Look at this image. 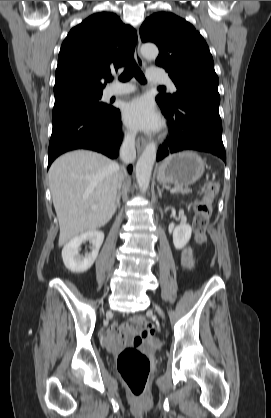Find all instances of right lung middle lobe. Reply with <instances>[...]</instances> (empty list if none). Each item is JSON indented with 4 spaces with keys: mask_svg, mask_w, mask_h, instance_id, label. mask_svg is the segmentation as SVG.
<instances>
[{
    "mask_svg": "<svg viewBox=\"0 0 271 418\" xmlns=\"http://www.w3.org/2000/svg\"><path fill=\"white\" fill-rule=\"evenodd\" d=\"M101 97L102 94L84 95L56 101L53 108V120L79 112L111 109V106L100 101Z\"/></svg>",
    "mask_w": 271,
    "mask_h": 418,
    "instance_id": "right-lung-middle-lobe-1",
    "label": "right lung middle lobe"
}]
</instances>
